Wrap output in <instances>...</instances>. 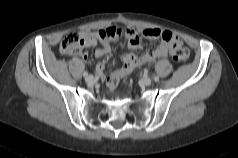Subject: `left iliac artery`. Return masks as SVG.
Segmentation results:
<instances>
[{
  "mask_svg": "<svg viewBox=\"0 0 238 158\" xmlns=\"http://www.w3.org/2000/svg\"><path fill=\"white\" fill-rule=\"evenodd\" d=\"M154 81H155V82L159 81V77H158V76H155V77H154Z\"/></svg>",
  "mask_w": 238,
  "mask_h": 158,
  "instance_id": "44dca946",
  "label": "left iliac artery"
}]
</instances>
